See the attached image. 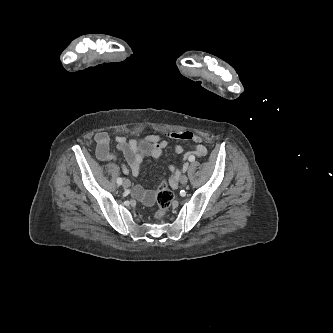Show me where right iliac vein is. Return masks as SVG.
Wrapping results in <instances>:
<instances>
[{
    "instance_id": "63e3f726",
    "label": "right iliac vein",
    "mask_w": 333,
    "mask_h": 333,
    "mask_svg": "<svg viewBox=\"0 0 333 333\" xmlns=\"http://www.w3.org/2000/svg\"><path fill=\"white\" fill-rule=\"evenodd\" d=\"M122 185H123L124 188H128V187H130L131 183H130L129 180L126 179V180H124Z\"/></svg>"
}]
</instances>
